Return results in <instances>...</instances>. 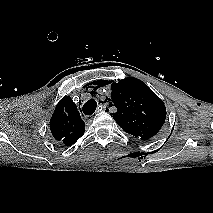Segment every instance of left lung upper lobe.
Wrapping results in <instances>:
<instances>
[{"label":"left lung upper lobe","instance_id":"obj_1","mask_svg":"<svg viewBox=\"0 0 213 213\" xmlns=\"http://www.w3.org/2000/svg\"><path fill=\"white\" fill-rule=\"evenodd\" d=\"M110 85L112 93L107 99L117 107V112L112 115L116 123L125 132L143 141L154 137L165 123L163 101L136 78H125Z\"/></svg>","mask_w":213,"mask_h":213}]
</instances>
